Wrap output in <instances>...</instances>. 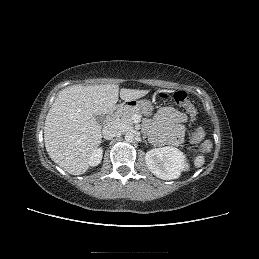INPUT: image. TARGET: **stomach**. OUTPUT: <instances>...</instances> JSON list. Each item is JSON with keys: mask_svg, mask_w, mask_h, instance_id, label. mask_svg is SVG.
Segmentation results:
<instances>
[{"mask_svg": "<svg viewBox=\"0 0 259 259\" xmlns=\"http://www.w3.org/2000/svg\"><path fill=\"white\" fill-rule=\"evenodd\" d=\"M124 108L136 109L143 114H150L153 110V106L149 100H136L132 99L124 102Z\"/></svg>", "mask_w": 259, "mask_h": 259, "instance_id": "stomach-1", "label": "stomach"}]
</instances>
